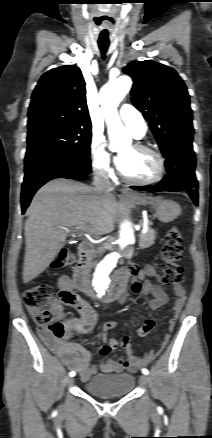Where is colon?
<instances>
[{"label":"colon","instance_id":"obj_1","mask_svg":"<svg viewBox=\"0 0 212 438\" xmlns=\"http://www.w3.org/2000/svg\"><path fill=\"white\" fill-rule=\"evenodd\" d=\"M182 236L177 227H171L165 235L162 249V273L163 281L169 285L181 284L183 281V267L180 264L182 258ZM75 260L73 253L63 249L53 260V269H62L71 265ZM24 303L27 311L39 327L47 328L56 338L62 339L66 330L62 322L55 319V299L50 287L37 284L29 287L24 292ZM67 305L77 301L73 292H67L62 296Z\"/></svg>","mask_w":212,"mask_h":438}]
</instances>
